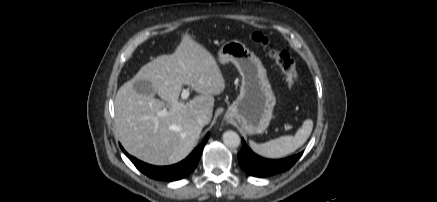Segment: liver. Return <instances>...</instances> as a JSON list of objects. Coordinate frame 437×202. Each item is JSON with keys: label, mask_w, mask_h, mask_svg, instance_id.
I'll use <instances>...</instances> for the list:
<instances>
[{"label": "liver", "mask_w": 437, "mask_h": 202, "mask_svg": "<svg viewBox=\"0 0 437 202\" xmlns=\"http://www.w3.org/2000/svg\"><path fill=\"white\" fill-rule=\"evenodd\" d=\"M149 81L158 96L139 94L136 81ZM182 85L199 93L179 101ZM225 89V80L213 55L189 33H184L172 55H160L141 67L133 79L118 90L115 129L124 149L153 165L183 160L200 136L197 116L212 118L214 97ZM166 110L165 115L160 111Z\"/></svg>", "instance_id": "liver-1"}]
</instances>
